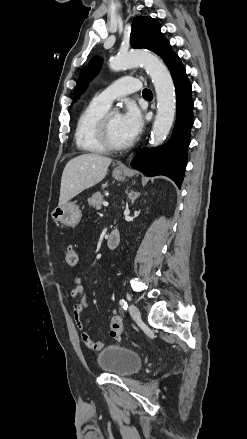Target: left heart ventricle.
Instances as JSON below:
<instances>
[{"mask_svg":"<svg viewBox=\"0 0 247 439\" xmlns=\"http://www.w3.org/2000/svg\"><path fill=\"white\" fill-rule=\"evenodd\" d=\"M109 127H110V136L113 143L124 144L129 141L122 130L119 114L117 113L111 114L109 119Z\"/></svg>","mask_w":247,"mask_h":439,"instance_id":"left-heart-ventricle-1","label":"left heart ventricle"}]
</instances>
